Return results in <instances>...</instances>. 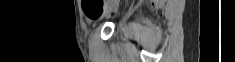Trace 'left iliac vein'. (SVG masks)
<instances>
[{
	"instance_id": "4c4485c4",
	"label": "left iliac vein",
	"mask_w": 235,
	"mask_h": 62,
	"mask_svg": "<svg viewBox=\"0 0 235 62\" xmlns=\"http://www.w3.org/2000/svg\"><path fill=\"white\" fill-rule=\"evenodd\" d=\"M116 2H113L111 3L110 5H108L106 8H105V12L104 14L108 13L111 9H113L115 6H116Z\"/></svg>"
}]
</instances>
